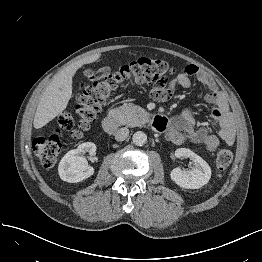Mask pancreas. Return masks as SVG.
Here are the masks:
<instances>
[{
	"label": "pancreas",
	"instance_id": "pancreas-1",
	"mask_svg": "<svg viewBox=\"0 0 262 262\" xmlns=\"http://www.w3.org/2000/svg\"><path fill=\"white\" fill-rule=\"evenodd\" d=\"M110 115L122 125L136 127L144 124L147 112L137 105L125 103L118 108L112 109Z\"/></svg>",
	"mask_w": 262,
	"mask_h": 262
}]
</instances>
